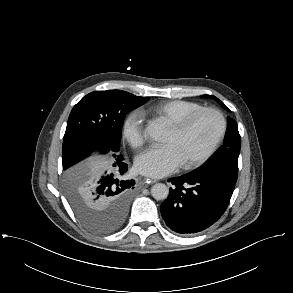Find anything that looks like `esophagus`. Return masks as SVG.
<instances>
[{"instance_id":"esophagus-1","label":"esophagus","mask_w":293,"mask_h":293,"mask_svg":"<svg viewBox=\"0 0 293 293\" xmlns=\"http://www.w3.org/2000/svg\"><path fill=\"white\" fill-rule=\"evenodd\" d=\"M144 182L145 183H156L157 182V180H155V179H150V178H144ZM147 185V184H146Z\"/></svg>"}]
</instances>
